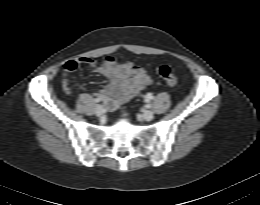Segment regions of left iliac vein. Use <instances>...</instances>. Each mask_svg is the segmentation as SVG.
Segmentation results:
<instances>
[{"mask_svg":"<svg viewBox=\"0 0 260 205\" xmlns=\"http://www.w3.org/2000/svg\"><path fill=\"white\" fill-rule=\"evenodd\" d=\"M153 117H154V115H153L152 111H150V110L144 111V113H143L144 120L151 121L153 119Z\"/></svg>","mask_w":260,"mask_h":205,"instance_id":"left-iliac-vein-1","label":"left iliac vein"}]
</instances>
